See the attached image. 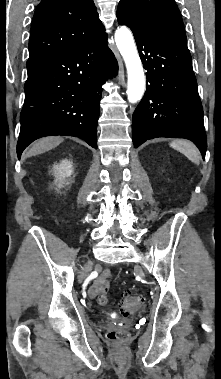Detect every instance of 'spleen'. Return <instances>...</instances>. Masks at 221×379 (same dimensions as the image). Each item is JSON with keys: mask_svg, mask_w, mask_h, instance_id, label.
<instances>
[{"mask_svg": "<svg viewBox=\"0 0 221 379\" xmlns=\"http://www.w3.org/2000/svg\"><path fill=\"white\" fill-rule=\"evenodd\" d=\"M170 146L184 154L189 160L194 164H199L200 162V152L194 144L187 140H174L170 143Z\"/></svg>", "mask_w": 221, "mask_h": 379, "instance_id": "3e777b00", "label": "spleen"}]
</instances>
